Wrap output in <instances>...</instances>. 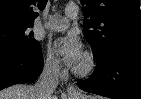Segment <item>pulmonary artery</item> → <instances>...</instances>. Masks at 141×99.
Masks as SVG:
<instances>
[{"label":"pulmonary artery","instance_id":"pulmonary-artery-1","mask_svg":"<svg viewBox=\"0 0 141 99\" xmlns=\"http://www.w3.org/2000/svg\"><path fill=\"white\" fill-rule=\"evenodd\" d=\"M78 15V7L75 4L66 6L65 15H53L49 17V21L45 24V28L51 31H62L69 26V21L75 19Z\"/></svg>","mask_w":141,"mask_h":99}]
</instances>
